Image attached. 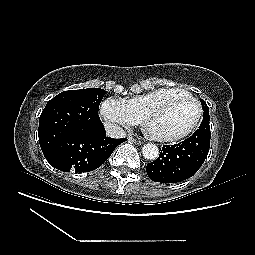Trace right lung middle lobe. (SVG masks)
<instances>
[{"label": "right lung middle lobe", "instance_id": "right-lung-middle-lobe-1", "mask_svg": "<svg viewBox=\"0 0 255 255\" xmlns=\"http://www.w3.org/2000/svg\"><path fill=\"white\" fill-rule=\"evenodd\" d=\"M106 91L100 88L64 91L51 99L39 120V143L49 151L73 130L98 132L104 126L99 118V104Z\"/></svg>", "mask_w": 255, "mask_h": 255}]
</instances>
